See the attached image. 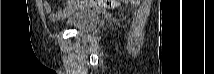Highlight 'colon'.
<instances>
[{"instance_id":"colon-1","label":"colon","mask_w":214,"mask_h":74,"mask_svg":"<svg viewBox=\"0 0 214 74\" xmlns=\"http://www.w3.org/2000/svg\"><path fill=\"white\" fill-rule=\"evenodd\" d=\"M73 2V1H71ZM86 3H90L96 8L99 9H107V8H116L118 7L122 1L120 0H91L85 1Z\"/></svg>"}]
</instances>
